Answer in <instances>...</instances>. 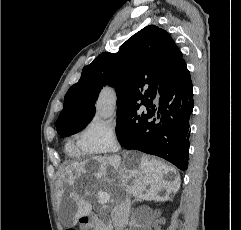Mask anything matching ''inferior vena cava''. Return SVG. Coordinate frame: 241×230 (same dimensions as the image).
Masks as SVG:
<instances>
[{"label":"inferior vena cava","instance_id":"1","mask_svg":"<svg viewBox=\"0 0 241 230\" xmlns=\"http://www.w3.org/2000/svg\"><path fill=\"white\" fill-rule=\"evenodd\" d=\"M131 209V199L127 194L124 201L114 207L111 212L112 223L115 230H123L128 224Z\"/></svg>","mask_w":241,"mask_h":230}]
</instances>
